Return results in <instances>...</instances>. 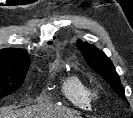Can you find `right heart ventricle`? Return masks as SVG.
<instances>
[{"mask_svg":"<svg viewBox=\"0 0 133 118\" xmlns=\"http://www.w3.org/2000/svg\"><path fill=\"white\" fill-rule=\"evenodd\" d=\"M62 96L74 107L90 111L94 103L92 88L77 74H70L61 81Z\"/></svg>","mask_w":133,"mask_h":118,"instance_id":"obj_1","label":"right heart ventricle"}]
</instances>
